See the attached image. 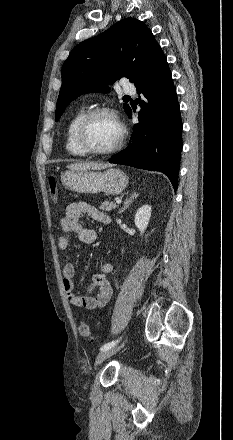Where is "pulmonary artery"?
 Listing matches in <instances>:
<instances>
[{
  "instance_id": "obj_1",
  "label": "pulmonary artery",
  "mask_w": 233,
  "mask_h": 440,
  "mask_svg": "<svg viewBox=\"0 0 233 440\" xmlns=\"http://www.w3.org/2000/svg\"><path fill=\"white\" fill-rule=\"evenodd\" d=\"M123 91L126 93H135L136 92V88L134 85L130 84V83H125L123 86Z\"/></svg>"
}]
</instances>
